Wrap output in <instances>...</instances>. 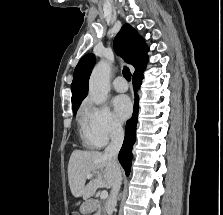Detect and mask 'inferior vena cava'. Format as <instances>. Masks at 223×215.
Segmentation results:
<instances>
[{
	"instance_id": "obj_1",
	"label": "inferior vena cava",
	"mask_w": 223,
	"mask_h": 215,
	"mask_svg": "<svg viewBox=\"0 0 223 215\" xmlns=\"http://www.w3.org/2000/svg\"><path fill=\"white\" fill-rule=\"evenodd\" d=\"M123 139H124V131L122 127H114V129H112L111 131V143L107 145L104 151V157H109V159H111L115 171L111 193L106 203V211L108 215H112L113 213V209L117 203V195L122 181L120 167H118L117 163V155L123 143Z\"/></svg>"
}]
</instances>
